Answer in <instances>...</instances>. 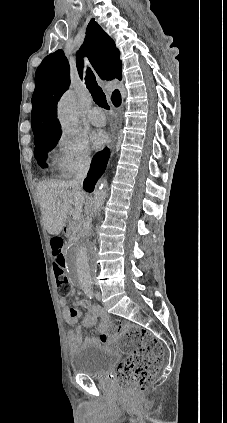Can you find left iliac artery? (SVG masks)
Segmentation results:
<instances>
[{
  "label": "left iliac artery",
  "instance_id": "left-iliac-artery-1",
  "mask_svg": "<svg viewBox=\"0 0 227 423\" xmlns=\"http://www.w3.org/2000/svg\"><path fill=\"white\" fill-rule=\"evenodd\" d=\"M82 288L84 290V293L86 296H88L90 299L93 297V284L92 282H86L82 284Z\"/></svg>",
  "mask_w": 227,
  "mask_h": 423
}]
</instances>
